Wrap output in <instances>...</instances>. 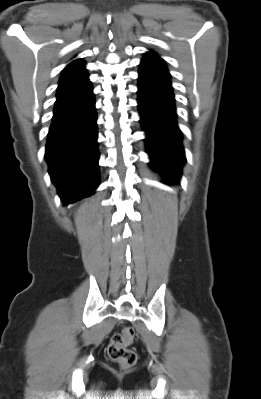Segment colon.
I'll use <instances>...</instances> for the list:
<instances>
[{"mask_svg":"<svg viewBox=\"0 0 261 399\" xmlns=\"http://www.w3.org/2000/svg\"><path fill=\"white\" fill-rule=\"evenodd\" d=\"M136 337L132 327H124L120 332L114 334L107 346L109 358L119 363L124 368H129L136 363V353L129 349Z\"/></svg>","mask_w":261,"mask_h":399,"instance_id":"5ec220e1","label":"colon"}]
</instances>
